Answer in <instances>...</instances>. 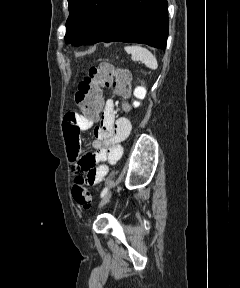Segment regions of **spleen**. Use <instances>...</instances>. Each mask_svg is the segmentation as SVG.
Listing matches in <instances>:
<instances>
[{"instance_id": "1", "label": "spleen", "mask_w": 240, "mask_h": 288, "mask_svg": "<svg viewBox=\"0 0 240 288\" xmlns=\"http://www.w3.org/2000/svg\"><path fill=\"white\" fill-rule=\"evenodd\" d=\"M127 53L132 55V59L142 61L148 68L155 70L158 67L155 56L146 48L141 46H126Z\"/></svg>"}]
</instances>
